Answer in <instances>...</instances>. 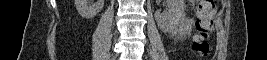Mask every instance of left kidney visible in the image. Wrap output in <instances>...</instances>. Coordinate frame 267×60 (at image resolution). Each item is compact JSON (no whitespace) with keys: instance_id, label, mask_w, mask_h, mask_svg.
<instances>
[{"instance_id":"left-kidney-1","label":"left kidney","mask_w":267,"mask_h":60,"mask_svg":"<svg viewBox=\"0 0 267 60\" xmlns=\"http://www.w3.org/2000/svg\"><path fill=\"white\" fill-rule=\"evenodd\" d=\"M166 5V11L155 13V20L161 31L170 33L177 28L180 21L184 20L185 5L181 0H166Z\"/></svg>"}]
</instances>
